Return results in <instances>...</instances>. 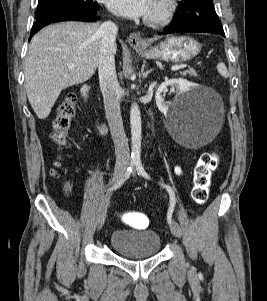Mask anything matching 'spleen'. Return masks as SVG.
<instances>
[{
  "label": "spleen",
  "mask_w": 267,
  "mask_h": 301,
  "mask_svg": "<svg viewBox=\"0 0 267 301\" xmlns=\"http://www.w3.org/2000/svg\"><path fill=\"white\" fill-rule=\"evenodd\" d=\"M217 71L224 78H227L229 76V72L227 70V67H226V65L223 62L218 63V65H217Z\"/></svg>",
  "instance_id": "1"
}]
</instances>
